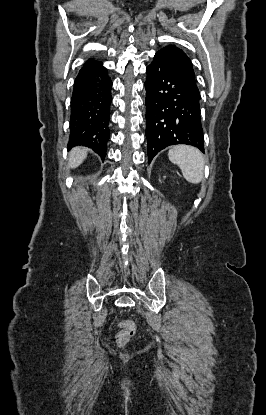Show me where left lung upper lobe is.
Returning <instances> with one entry per match:
<instances>
[{
    "label": "left lung upper lobe",
    "instance_id": "5c2ea615",
    "mask_svg": "<svg viewBox=\"0 0 266 415\" xmlns=\"http://www.w3.org/2000/svg\"><path fill=\"white\" fill-rule=\"evenodd\" d=\"M158 53L167 59L168 62L171 63L184 76L194 90L199 92L196 85L193 64L182 49L176 47L175 45H168L159 50Z\"/></svg>",
    "mask_w": 266,
    "mask_h": 415
}]
</instances>
